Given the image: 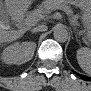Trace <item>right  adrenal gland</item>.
<instances>
[{"instance_id": "right-adrenal-gland-1", "label": "right adrenal gland", "mask_w": 91, "mask_h": 91, "mask_svg": "<svg viewBox=\"0 0 91 91\" xmlns=\"http://www.w3.org/2000/svg\"><path fill=\"white\" fill-rule=\"evenodd\" d=\"M31 33H36V32H34L33 30H31Z\"/></svg>"}]
</instances>
